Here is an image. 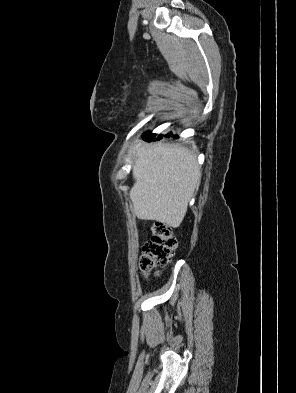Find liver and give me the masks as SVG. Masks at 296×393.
<instances>
[{"mask_svg": "<svg viewBox=\"0 0 296 393\" xmlns=\"http://www.w3.org/2000/svg\"><path fill=\"white\" fill-rule=\"evenodd\" d=\"M131 153L135 183L130 198L134 214L141 220L179 227L200 185L196 155L174 145L145 143L135 145Z\"/></svg>", "mask_w": 296, "mask_h": 393, "instance_id": "obj_1", "label": "liver"}]
</instances>
